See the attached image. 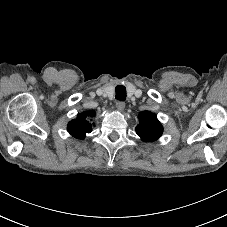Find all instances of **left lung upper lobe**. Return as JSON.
Instances as JSON below:
<instances>
[{
  "mask_svg": "<svg viewBox=\"0 0 227 227\" xmlns=\"http://www.w3.org/2000/svg\"><path fill=\"white\" fill-rule=\"evenodd\" d=\"M138 118L140 123L136 127V133L143 141H155L162 135V125L154 113L144 111Z\"/></svg>",
  "mask_w": 227,
  "mask_h": 227,
  "instance_id": "5c2ea615",
  "label": "left lung upper lobe"
}]
</instances>
